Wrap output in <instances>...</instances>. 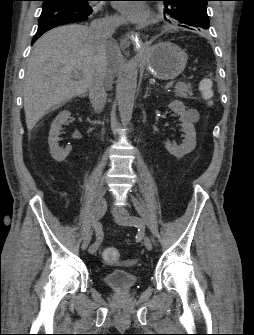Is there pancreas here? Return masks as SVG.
<instances>
[{
    "mask_svg": "<svg viewBox=\"0 0 254 335\" xmlns=\"http://www.w3.org/2000/svg\"><path fill=\"white\" fill-rule=\"evenodd\" d=\"M175 95L181 98H190L192 96V87L190 83L179 82L175 85Z\"/></svg>",
    "mask_w": 254,
    "mask_h": 335,
    "instance_id": "1",
    "label": "pancreas"
}]
</instances>
